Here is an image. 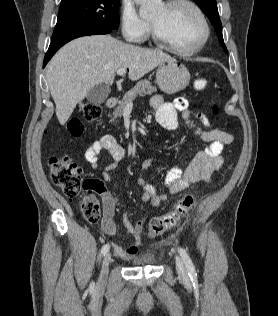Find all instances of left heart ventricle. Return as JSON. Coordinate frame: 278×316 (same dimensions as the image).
Here are the masks:
<instances>
[{
    "label": "left heart ventricle",
    "mask_w": 278,
    "mask_h": 316,
    "mask_svg": "<svg viewBox=\"0 0 278 316\" xmlns=\"http://www.w3.org/2000/svg\"><path fill=\"white\" fill-rule=\"evenodd\" d=\"M150 21L175 45L190 49L203 38V25L195 11L187 5L168 9L161 5Z\"/></svg>",
    "instance_id": "left-heart-ventricle-1"
}]
</instances>
